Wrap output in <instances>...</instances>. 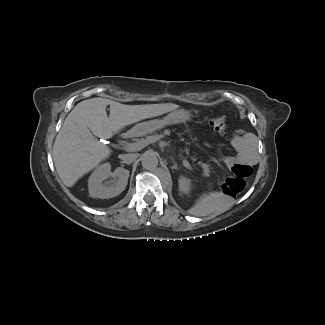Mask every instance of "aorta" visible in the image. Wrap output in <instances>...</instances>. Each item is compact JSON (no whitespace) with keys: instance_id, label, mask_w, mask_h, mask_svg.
Listing matches in <instances>:
<instances>
[{"instance_id":"aorta-1","label":"aorta","mask_w":325,"mask_h":325,"mask_svg":"<svg viewBox=\"0 0 325 325\" xmlns=\"http://www.w3.org/2000/svg\"><path fill=\"white\" fill-rule=\"evenodd\" d=\"M142 166L147 170L155 169L158 165V157L154 151H146L141 157Z\"/></svg>"}]
</instances>
